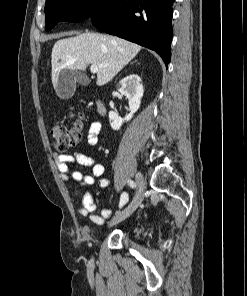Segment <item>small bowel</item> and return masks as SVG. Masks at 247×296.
I'll list each match as a JSON object with an SVG mask.
<instances>
[{
  "mask_svg": "<svg viewBox=\"0 0 247 296\" xmlns=\"http://www.w3.org/2000/svg\"><path fill=\"white\" fill-rule=\"evenodd\" d=\"M102 130V124L100 122H93L88 130V143L90 145H97L99 143V135ZM53 158L56 162L58 171L61 178L66 181H72L80 186L88 187L95 184L98 180V187L105 189L109 186L110 180L107 177H103L104 166L96 161L94 157L85 155L80 152L73 154H54ZM71 165L90 167V172L84 174L79 170H72ZM129 201V195L127 192H122L119 199V208H124ZM97 206L94 203L93 195L90 191H86L82 197V206L79 208L78 213L83 217H90V220L95 224H102L104 220L112 215V211L109 209H103L101 215H94Z\"/></svg>",
  "mask_w": 247,
  "mask_h": 296,
  "instance_id": "c3829d8e",
  "label": "small bowel"
}]
</instances>
